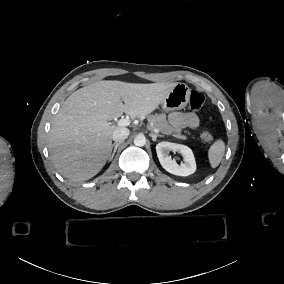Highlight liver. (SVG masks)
Masks as SVG:
<instances>
[{
    "mask_svg": "<svg viewBox=\"0 0 284 284\" xmlns=\"http://www.w3.org/2000/svg\"><path fill=\"white\" fill-rule=\"evenodd\" d=\"M178 84L99 81L73 92L54 118L48 148L61 175L86 181L97 175L111 155L116 129L108 121L153 113ZM124 102V104H123Z\"/></svg>",
    "mask_w": 284,
    "mask_h": 284,
    "instance_id": "liver-1",
    "label": "liver"
}]
</instances>
